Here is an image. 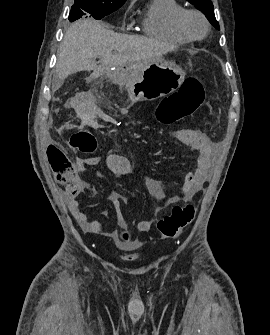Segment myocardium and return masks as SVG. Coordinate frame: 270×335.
<instances>
[{
  "label": "myocardium",
  "mask_w": 270,
  "mask_h": 335,
  "mask_svg": "<svg viewBox=\"0 0 270 335\" xmlns=\"http://www.w3.org/2000/svg\"><path fill=\"white\" fill-rule=\"evenodd\" d=\"M191 14H194V15L198 16L203 21V23L205 25V32H204V34L201 37H195V36H193L190 33V31L187 29L186 18L189 15H191ZM176 23H177V27L180 30V32L183 35H185L186 37H188L189 39H191V40H201V39H204L205 37L208 36V34L210 32L209 22L207 21L206 17L200 11H197V10L188 9V10L182 11L178 15Z\"/></svg>",
  "instance_id": "myocardium-1"
}]
</instances>
